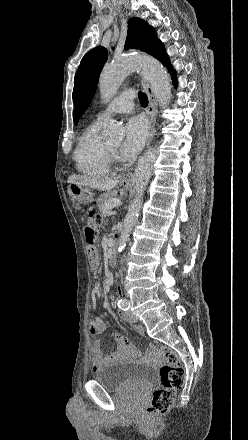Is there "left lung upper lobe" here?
Returning a JSON list of instances; mask_svg holds the SVG:
<instances>
[{
  "instance_id": "1",
  "label": "left lung upper lobe",
  "mask_w": 248,
  "mask_h": 440,
  "mask_svg": "<svg viewBox=\"0 0 248 440\" xmlns=\"http://www.w3.org/2000/svg\"><path fill=\"white\" fill-rule=\"evenodd\" d=\"M141 49L161 61L170 71L174 69L170 64L169 57L164 50L163 43L157 39L156 31L147 22L132 18L128 21V33L125 42V49ZM108 52L98 46L87 52L81 60L74 78L73 99L82 113L91 101L99 74L107 60Z\"/></svg>"
}]
</instances>
